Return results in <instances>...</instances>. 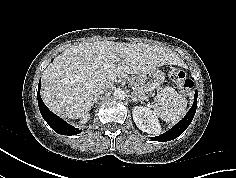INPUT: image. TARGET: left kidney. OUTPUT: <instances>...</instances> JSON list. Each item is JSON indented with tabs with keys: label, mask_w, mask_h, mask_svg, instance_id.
Listing matches in <instances>:
<instances>
[{
	"label": "left kidney",
	"mask_w": 236,
	"mask_h": 178,
	"mask_svg": "<svg viewBox=\"0 0 236 178\" xmlns=\"http://www.w3.org/2000/svg\"><path fill=\"white\" fill-rule=\"evenodd\" d=\"M133 120L136 126L149 134H160L161 126L157 116L145 106H134L132 109Z\"/></svg>",
	"instance_id": "5707ae66"
}]
</instances>
